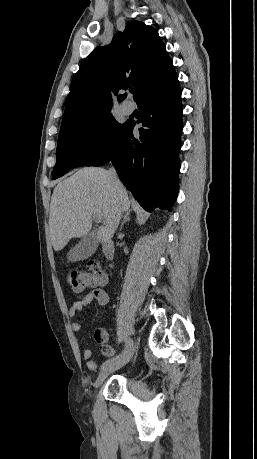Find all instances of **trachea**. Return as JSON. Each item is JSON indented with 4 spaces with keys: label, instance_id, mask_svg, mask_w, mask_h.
<instances>
[{
    "label": "trachea",
    "instance_id": "trachea-1",
    "mask_svg": "<svg viewBox=\"0 0 257 459\" xmlns=\"http://www.w3.org/2000/svg\"><path fill=\"white\" fill-rule=\"evenodd\" d=\"M129 91H130V93H132V94L134 93V89H130Z\"/></svg>",
    "mask_w": 257,
    "mask_h": 459
}]
</instances>
